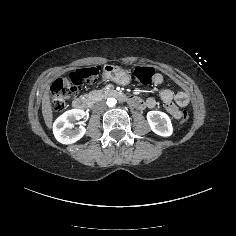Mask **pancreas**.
I'll return each mask as SVG.
<instances>
[{"label": "pancreas", "mask_w": 236, "mask_h": 236, "mask_svg": "<svg viewBox=\"0 0 236 236\" xmlns=\"http://www.w3.org/2000/svg\"><path fill=\"white\" fill-rule=\"evenodd\" d=\"M106 97V93L104 90H95V91H89L85 94V98L89 103H95L97 101H100Z\"/></svg>", "instance_id": "cf45deb5"}]
</instances>
